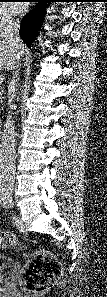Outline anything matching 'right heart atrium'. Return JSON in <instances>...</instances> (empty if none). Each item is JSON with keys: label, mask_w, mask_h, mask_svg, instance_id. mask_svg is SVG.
Here are the masks:
<instances>
[{"label": "right heart atrium", "mask_w": 107, "mask_h": 297, "mask_svg": "<svg viewBox=\"0 0 107 297\" xmlns=\"http://www.w3.org/2000/svg\"><path fill=\"white\" fill-rule=\"evenodd\" d=\"M11 18L10 14L8 13V11H6L5 9H0V20L3 21H9Z\"/></svg>", "instance_id": "d8ad5b80"}]
</instances>
